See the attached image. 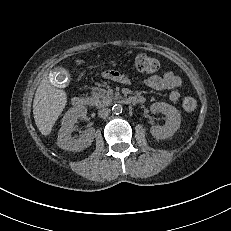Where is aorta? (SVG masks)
<instances>
[{"label":"aorta","instance_id":"aorta-1","mask_svg":"<svg viewBox=\"0 0 231 231\" xmlns=\"http://www.w3.org/2000/svg\"><path fill=\"white\" fill-rule=\"evenodd\" d=\"M122 105L121 104H114L113 107H112V111L114 114H120L122 113Z\"/></svg>","mask_w":231,"mask_h":231}]
</instances>
